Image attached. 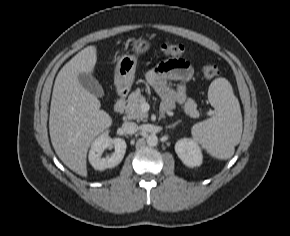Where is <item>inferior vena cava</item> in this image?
<instances>
[{"label": "inferior vena cava", "instance_id": "inferior-vena-cava-1", "mask_svg": "<svg viewBox=\"0 0 290 236\" xmlns=\"http://www.w3.org/2000/svg\"><path fill=\"white\" fill-rule=\"evenodd\" d=\"M138 125L134 122H124L122 124V130L124 131V133L126 134H135L138 131Z\"/></svg>", "mask_w": 290, "mask_h": 236}]
</instances>
